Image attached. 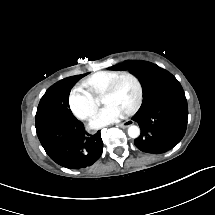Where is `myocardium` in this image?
<instances>
[{
  "mask_svg": "<svg viewBox=\"0 0 215 215\" xmlns=\"http://www.w3.org/2000/svg\"><path fill=\"white\" fill-rule=\"evenodd\" d=\"M120 81H128L132 86V98L128 104L130 108H126V113L131 115L135 109L139 107V102L141 99V85L139 80L132 74L127 72H121L113 75V78L105 86V91L107 94L111 93L112 88L114 89L115 85Z\"/></svg>",
  "mask_w": 215,
  "mask_h": 215,
  "instance_id": "myocardium-1",
  "label": "myocardium"
}]
</instances>
